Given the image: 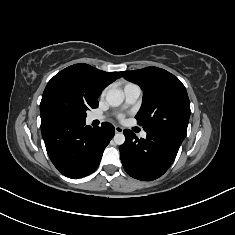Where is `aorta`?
I'll return each mask as SVG.
<instances>
[{
    "label": "aorta",
    "mask_w": 235,
    "mask_h": 235,
    "mask_svg": "<svg viewBox=\"0 0 235 235\" xmlns=\"http://www.w3.org/2000/svg\"><path fill=\"white\" fill-rule=\"evenodd\" d=\"M123 100L124 95L118 89H110L106 94V101L110 106L117 107L122 104ZM113 139L117 145H122L125 142V136L123 133L115 134Z\"/></svg>",
    "instance_id": "762f6f07"
}]
</instances>
